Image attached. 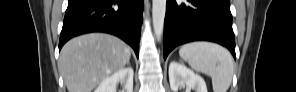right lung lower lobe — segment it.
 Returning <instances> with one entry per match:
<instances>
[{
	"label": "right lung lower lobe",
	"mask_w": 296,
	"mask_h": 92,
	"mask_svg": "<svg viewBox=\"0 0 296 92\" xmlns=\"http://www.w3.org/2000/svg\"><path fill=\"white\" fill-rule=\"evenodd\" d=\"M143 0H69L59 49L70 38L106 32L128 43L138 56Z\"/></svg>",
	"instance_id": "right-lung-lower-lobe-1"
}]
</instances>
